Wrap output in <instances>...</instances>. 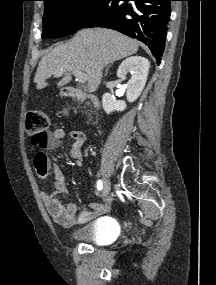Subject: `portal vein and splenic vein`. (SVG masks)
Returning <instances> with one entry per match:
<instances>
[{
    "instance_id": "1",
    "label": "portal vein and splenic vein",
    "mask_w": 216,
    "mask_h": 285,
    "mask_svg": "<svg viewBox=\"0 0 216 285\" xmlns=\"http://www.w3.org/2000/svg\"><path fill=\"white\" fill-rule=\"evenodd\" d=\"M62 74H63V71H59L55 74V76H61ZM73 74L76 77L77 81H79V83H85L87 81V77L84 73L78 70H75Z\"/></svg>"
}]
</instances>
